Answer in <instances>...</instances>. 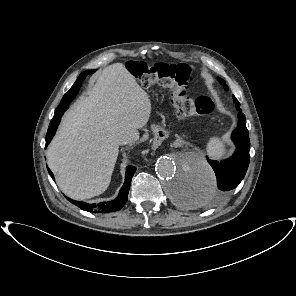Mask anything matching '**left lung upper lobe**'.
Wrapping results in <instances>:
<instances>
[{"label":"left lung upper lobe","instance_id":"left-lung-upper-lobe-1","mask_svg":"<svg viewBox=\"0 0 296 296\" xmlns=\"http://www.w3.org/2000/svg\"><path fill=\"white\" fill-rule=\"evenodd\" d=\"M218 80H219V82L221 83V84H223L224 85V88L225 89H227L228 87H227V85L225 84V81L223 80V79H221V78H218Z\"/></svg>","mask_w":296,"mask_h":296}]
</instances>
